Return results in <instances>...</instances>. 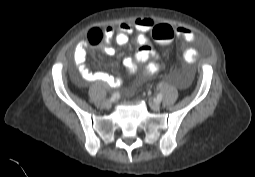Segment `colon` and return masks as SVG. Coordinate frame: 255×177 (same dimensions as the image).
<instances>
[{"label":"colon","instance_id":"obj_1","mask_svg":"<svg viewBox=\"0 0 255 177\" xmlns=\"http://www.w3.org/2000/svg\"><path fill=\"white\" fill-rule=\"evenodd\" d=\"M174 35L175 31L168 23H159L152 29L153 38L164 48L169 46ZM102 38L103 32L100 30H91L86 36L87 41L91 44H97Z\"/></svg>","mask_w":255,"mask_h":177}]
</instances>
